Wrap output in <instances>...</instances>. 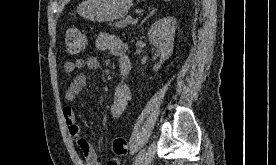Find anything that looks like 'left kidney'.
Masks as SVG:
<instances>
[{
    "mask_svg": "<svg viewBox=\"0 0 276 165\" xmlns=\"http://www.w3.org/2000/svg\"><path fill=\"white\" fill-rule=\"evenodd\" d=\"M176 30V19L174 17H163L152 24L148 31L149 41L161 52L160 63L153 67L158 71L173 52V42Z\"/></svg>",
    "mask_w": 276,
    "mask_h": 165,
    "instance_id": "5707ae66",
    "label": "left kidney"
}]
</instances>
